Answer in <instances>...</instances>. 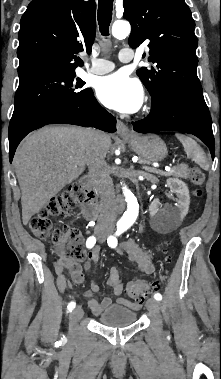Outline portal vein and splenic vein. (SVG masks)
Returning <instances> with one entry per match:
<instances>
[{
  "label": "portal vein and splenic vein",
  "instance_id": "portal-vein-and-splenic-vein-1",
  "mask_svg": "<svg viewBox=\"0 0 221 379\" xmlns=\"http://www.w3.org/2000/svg\"><path fill=\"white\" fill-rule=\"evenodd\" d=\"M133 162H137V160H133ZM144 169H146L147 171L149 172H152V173H155V174H161L162 171L157 169V168H148V167H144ZM173 169H171V167L169 166H166L165 167V171L166 172H171Z\"/></svg>",
  "mask_w": 221,
  "mask_h": 379
}]
</instances>
